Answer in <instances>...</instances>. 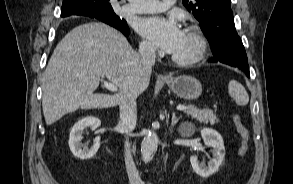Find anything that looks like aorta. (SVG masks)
<instances>
[{"instance_id":"aorta-1","label":"aorta","mask_w":293,"mask_h":184,"mask_svg":"<svg viewBox=\"0 0 293 184\" xmlns=\"http://www.w3.org/2000/svg\"><path fill=\"white\" fill-rule=\"evenodd\" d=\"M159 139L155 131H148L141 143L142 159L145 163L151 161L157 150Z\"/></svg>"}]
</instances>
